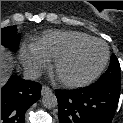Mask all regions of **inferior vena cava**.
Masks as SVG:
<instances>
[{"label":"inferior vena cava","mask_w":123,"mask_h":123,"mask_svg":"<svg viewBox=\"0 0 123 123\" xmlns=\"http://www.w3.org/2000/svg\"><path fill=\"white\" fill-rule=\"evenodd\" d=\"M42 72L38 68H25L23 71L24 79L26 80H36L40 78Z\"/></svg>","instance_id":"1"}]
</instances>
